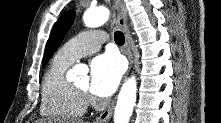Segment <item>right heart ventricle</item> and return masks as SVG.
Masks as SVG:
<instances>
[{"label":"right heart ventricle","instance_id":"1","mask_svg":"<svg viewBox=\"0 0 221 123\" xmlns=\"http://www.w3.org/2000/svg\"><path fill=\"white\" fill-rule=\"evenodd\" d=\"M71 62L59 56L48 66L41 88L40 113L53 119H72L82 116L86 100L79 95L65 78Z\"/></svg>","mask_w":221,"mask_h":123}]
</instances>
